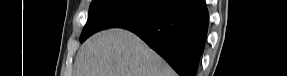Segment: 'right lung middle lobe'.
<instances>
[{
	"mask_svg": "<svg viewBox=\"0 0 287 76\" xmlns=\"http://www.w3.org/2000/svg\"><path fill=\"white\" fill-rule=\"evenodd\" d=\"M169 0H93L88 20L80 36L81 42L108 28L139 26L152 19Z\"/></svg>",
	"mask_w": 287,
	"mask_h": 76,
	"instance_id": "right-lung-middle-lobe-1",
	"label": "right lung middle lobe"
}]
</instances>
